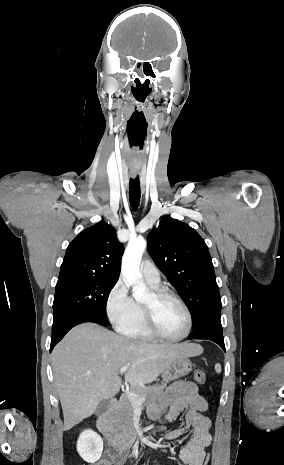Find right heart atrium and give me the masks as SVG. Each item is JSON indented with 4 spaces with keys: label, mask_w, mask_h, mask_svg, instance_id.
<instances>
[{
    "label": "right heart atrium",
    "mask_w": 284,
    "mask_h": 465,
    "mask_svg": "<svg viewBox=\"0 0 284 465\" xmlns=\"http://www.w3.org/2000/svg\"><path fill=\"white\" fill-rule=\"evenodd\" d=\"M138 309V305L129 295L125 282L120 279L109 291L105 301V312L116 328H122L130 323Z\"/></svg>",
    "instance_id": "obj_1"
}]
</instances>
